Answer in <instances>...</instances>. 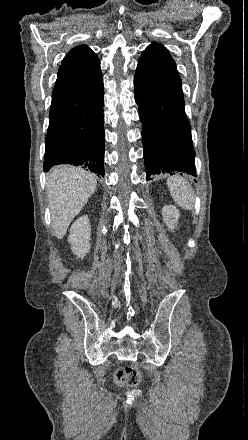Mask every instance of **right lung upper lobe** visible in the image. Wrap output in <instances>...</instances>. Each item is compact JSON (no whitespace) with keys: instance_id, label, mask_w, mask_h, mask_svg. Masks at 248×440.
<instances>
[{"instance_id":"1","label":"right lung upper lobe","mask_w":248,"mask_h":440,"mask_svg":"<svg viewBox=\"0 0 248 440\" xmlns=\"http://www.w3.org/2000/svg\"><path fill=\"white\" fill-rule=\"evenodd\" d=\"M101 77L97 55L86 45L77 46L69 51L61 63L52 97L89 88Z\"/></svg>"}]
</instances>
